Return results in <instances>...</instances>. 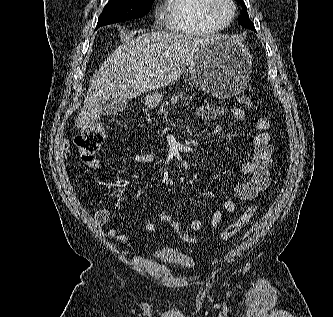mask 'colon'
<instances>
[{
    "mask_svg": "<svg viewBox=\"0 0 333 317\" xmlns=\"http://www.w3.org/2000/svg\"><path fill=\"white\" fill-rule=\"evenodd\" d=\"M239 102L246 108L253 106L251 97L242 95L239 97ZM104 142V133L99 127H93L85 130L81 135L74 139V143L78 148L81 159L90 163L94 160L95 154L102 147ZM257 207L251 205L245 209L241 217L234 223L228 225L219 236V240L226 241L235 236L255 215ZM171 228L177 232L180 237L187 242H196V238L181 232L177 220H173L170 224Z\"/></svg>",
    "mask_w": 333,
    "mask_h": 317,
    "instance_id": "5ec220e1",
    "label": "colon"
}]
</instances>
